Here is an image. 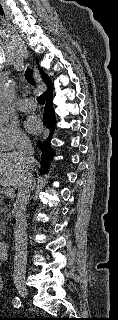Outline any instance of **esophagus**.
Wrapping results in <instances>:
<instances>
[{
	"mask_svg": "<svg viewBox=\"0 0 118 320\" xmlns=\"http://www.w3.org/2000/svg\"><path fill=\"white\" fill-rule=\"evenodd\" d=\"M36 78H39L37 72H36ZM48 135H49V130H48V129H45V131H44V133H43V135H42V141L46 140L47 137H48Z\"/></svg>",
	"mask_w": 118,
	"mask_h": 320,
	"instance_id": "esophagus-1",
	"label": "esophagus"
}]
</instances>
